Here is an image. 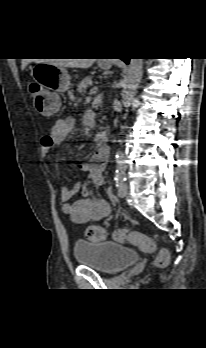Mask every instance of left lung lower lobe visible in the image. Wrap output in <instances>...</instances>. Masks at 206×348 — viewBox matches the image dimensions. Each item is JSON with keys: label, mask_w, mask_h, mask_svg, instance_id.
Returning a JSON list of instances; mask_svg holds the SVG:
<instances>
[{"label": "left lung lower lobe", "mask_w": 206, "mask_h": 348, "mask_svg": "<svg viewBox=\"0 0 206 348\" xmlns=\"http://www.w3.org/2000/svg\"><path fill=\"white\" fill-rule=\"evenodd\" d=\"M124 62H126L127 64L129 63V59H122Z\"/></svg>", "instance_id": "left-lung-lower-lobe-1"}]
</instances>
